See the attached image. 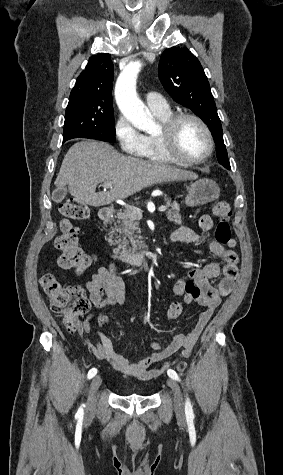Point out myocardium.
<instances>
[{
  "label": "myocardium",
  "mask_w": 283,
  "mask_h": 475,
  "mask_svg": "<svg viewBox=\"0 0 283 475\" xmlns=\"http://www.w3.org/2000/svg\"><path fill=\"white\" fill-rule=\"evenodd\" d=\"M184 119H192L195 120L199 125L202 127L203 131L205 132L207 138V151L195 158H185V157H171L165 148L167 143L174 144L177 128L181 121ZM158 151L160 156L163 159V162H204L209 159L213 152H214V140L212 136V132L206 122L196 114L189 113V112H179L173 114L163 125L159 135H158Z\"/></svg>",
  "instance_id": "1"
}]
</instances>
